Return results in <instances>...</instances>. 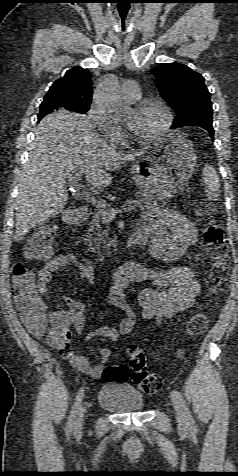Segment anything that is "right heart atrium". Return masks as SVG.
<instances>
[{
	"mask_svg": "<svg viewBox=\"0 0 238 476\" xmlns=\"http://www.w3.org/2000/svg\"><path fill=\"white\" fill-rule=\"evenodd\" d=\"M88 117L91 123L104 137L113 141L121 140L124 137V129L116 124L111 123L96 105L93 104L90 106L88 110Z\"/></svg>",
	"mask_w": 238,
	"mask_h": 476,
	"instance_id": "1",
	"label": "right heart atrium"
}]
</instances>
